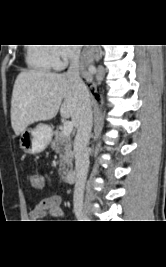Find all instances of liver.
<instances>
[{"label": "liver", "instance_id": "liver-1", "mask_svg": "<svg viewBox=\"0 0 166 267\" xmlns=\"http://www.w3.org/2000/svg\"><path fill=\"white\" fill-rule=\"evenodd\" d=\"M87 99L90 101L89 93H83L65 74L21 72L12 92V128L18 136L35 122L51 120L59 109L78 128Z\"/></svg>", "mask_w": 166, "mask_h": 267}]
</instances>
